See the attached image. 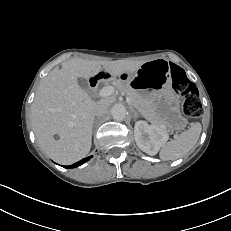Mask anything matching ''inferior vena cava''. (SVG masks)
<instances>
[{"label": "inferior vena cava", "mask_w": 231, "mask_h": 231, "mask_svg": "<svg viewBox=\"0 0 231 231\" xmlns=\"http://www.w3.org/2000/svg\"><path fill=\"white\" fill-rule=\"evenodd\" d=\"M108 105L103 101H97L94 106V115L95 116H104L108 111Z\"/></svg>", "instance_id": "602c4592"}]
</instances>
